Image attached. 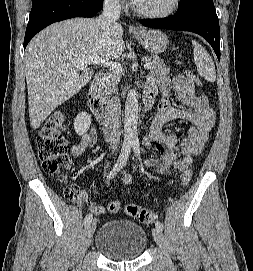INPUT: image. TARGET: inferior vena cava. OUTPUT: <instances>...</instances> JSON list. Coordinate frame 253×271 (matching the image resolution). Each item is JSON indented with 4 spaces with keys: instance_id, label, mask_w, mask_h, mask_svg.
Segmentation results:
<instances>
[{
    "instance_id": "inferior-vena-cava-1",
    "label": "inferior vena cava",
    "mask_w": 253,
    "mask_h": 271,
    "mask_svg": "<svg viewBox=\"0 0 253 271\" xmlns=\"http://www.w3.org/2000/svg\"><path fill=\"white\" fill-rule=\"evenodd\" d=\"M120 11L119 0H104L102 13L97 19L98 25L103 29H108L120 18ZM113 93L115 95L107 100L105 106L104 137L111 149L115 151L119 147L121 137V104L117 90L115 89Z\"/></svg>"
}]
</instances>
